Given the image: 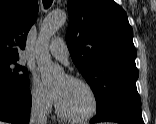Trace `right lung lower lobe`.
<instances>
[{"mask_svg": "<svg viewBox=\"0 0 156 124\" xmlns=\"http://www.w3.org/2000/svg\"><path fill=\"white\" fill-rule=\"evenodd\" d=\"M31 110L29 87L18 89L0 84V121L27 124Z\"/></svg>", "mask_w": 156, "mask_h": 124, "instance_id": "obj_1", "label": "right lung lower lobe"}]
</instances>
